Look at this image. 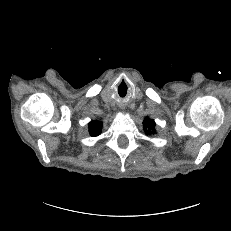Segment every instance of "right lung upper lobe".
<instances>
[{"label": "right lung upper lobe", "mask_w": 231, "mask_h": 231, "mask_svg": "<svg viewBox=\"0 0 231 231\" xmlns=\"http://www.w3.org/2000/svg\"><path fill=\"white\" fill-rule=\"evenodd\" d=\"M101 129H102V123L99 122V121H91L89 123V132H90V135L95 137V136H98L101 132Z\"/></svg>", "instance_id": "obj_1"}]
</instances>
